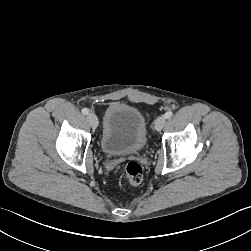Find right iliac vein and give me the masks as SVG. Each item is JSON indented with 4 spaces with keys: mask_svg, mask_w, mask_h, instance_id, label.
Returning a JSON list of instances; mask_svg holds the SVG:
<instances>
[{
    "mask_svg": "<svg viewBox=\"0 0 251 251\" xmlns=\"http://www.w3.org/2000/svg\"><path fill=\"white\" fill-rule=\"evenodd\" d=\"M87 121L92 128H97L98 126V118L94 113H89L87 116Z\"/></svg>",
    "mask_w": 251,
    "mask_h": 251,
    "instance_id": "1",
    "label": "right iliac vein"
}]
</instances>
